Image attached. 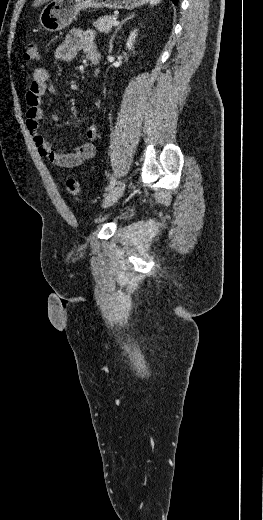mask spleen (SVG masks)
Instances as JSON below:
<instances>
[{
    "instance_id": "obj_1",
    "label": "spleen",
    "mask_w": 263,
    "mask_h": 520,
    "mask_svg": "<svg viewBox=\"0 0 263 520\" xmlns=\"http://www.w3.org/2000/svg\"><path fill=\"white\" fill-rule=\"evenodd\" d=\"M151 6H155L160 3L161 0H148Z\"/></svg>"
}]
</instances>
